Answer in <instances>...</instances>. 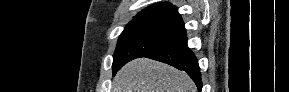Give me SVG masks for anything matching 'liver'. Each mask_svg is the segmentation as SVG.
<instances>
[{
    "label": "liver",
    "mask_w": 289,
    "mask_h": 92,
    "mask_svg": "<svg viewBox=\"0 0 289 92\" xmlns=\"http://www.w3.org/2000/svg\"><path fill=\"white\" fill-rule=\"evenodd\" d=\"M113 92H196L192 79L164 63L147 58L127 63L115 76Z\"/></svg>",
    "instance_id": "obj_1"
}]
</instances>
